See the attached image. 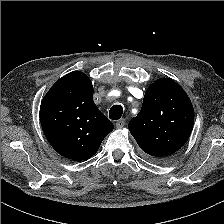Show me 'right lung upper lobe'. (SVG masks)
Here are the masks:
<instances>
[{"mask_svg":"<svg viewBox=\"0 0 224 224\" xmlns=\"http://www.w3.org/2000/svg\"><path fill=\"white\" fill-rule=\"evenodd\" d=\"M43 132L51 146L65 158H91L113 124L93 102L89 77L73 71L60 78L44 96L40 107Z\"/></svg>","mask_w":224,"mask_h":224,"instance_id":"obj_1","label":"right lung upper lobe"}]
</instances>
